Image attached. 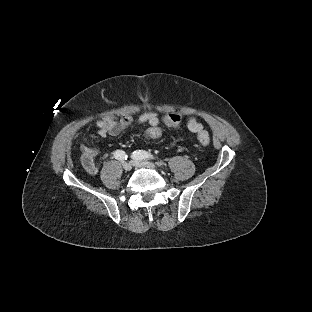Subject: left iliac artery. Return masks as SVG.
Returning <instances> with one entry per match:
<instances>
[{
    "label": "left iliac artery",
    "mask_w": 312,
    "mask_h": 312,
    "mask_svg": "<svg viewBox=\"0 0 312 312\" xmlns=\"http://www.w3.org/2000/svg\"><path fill=\"white\" fill-rule=\"evenodd\" d=\"M133 159H139V160H147V159H155V155L148 153L146 151L143 150H139V151H134L132 156Z\"/></svg>",
    "instance_id": "1"
}]
</instances>
